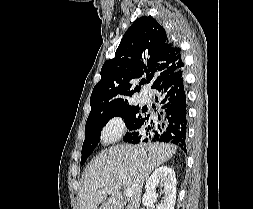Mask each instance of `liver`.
Returning <instances> with one entry per match:
<instances>
[{
	"mask_svg": "<svg viewBox=\"0 0 253 209\" xmlns=\"http://www.w3.org/2000/svg\"><path fill=\"white\" fill-rule=\"evenodd\" d=\"M176 149L173 144L150 143L121 144L104 150L84 172L79 191L80 209H139L146 178L172 158ZM122 187L133 192L126 207ZM106 188L110 193L105 192Z\"/></svg>",
	"mask_w": 253,
	"mask_h": 209,
	"instance_id": "obj_1",
	"label": "liver"
}]
</instances>
